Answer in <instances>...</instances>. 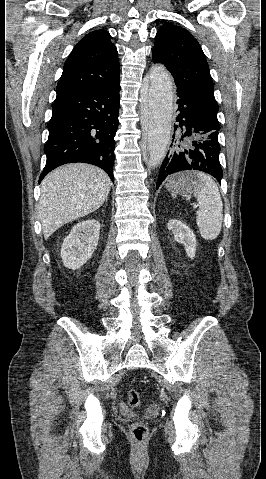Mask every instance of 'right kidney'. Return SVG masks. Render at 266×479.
<instances>
[{"label":"right kidney","instance_id":"ca27d5eb","mask_svg":"<svg viewBox=\"0 0 266 479\" xmlns=\"http://www.w3.org/2000/svg\"><path fill=\"white\" fill-rule=\"evenodd\" d=\"M99 232L100 223L94 219L73 226L61 247L64 266L75 270L85 264L98 245Z\"/></svg>","mask_w":266,"mask_h":479}]
</instances>
